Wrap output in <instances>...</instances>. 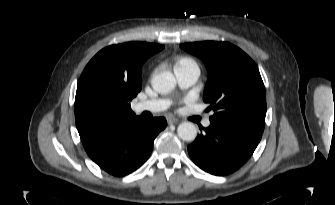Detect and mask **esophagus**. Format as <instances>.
Segmentation results:
<instances>
[{
  "instance_id": "esophagus-1",
  "label": "esophagus",
  "mask_w": 335,
  "mask_h": 205,
  "mask_svg": "<svg viewBox=\"0 0 335 205\" xmlns=\"http://www.w3.org/2000/svg\"><path fill=\"white\" fill-rule=\"evenodd\" d=\"M167 122H168V124H174V123L178 122V119L175 118V117H168Z\"/></svg>"
}]
</instances>
